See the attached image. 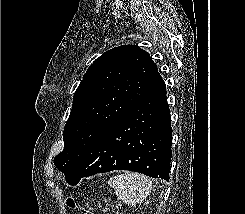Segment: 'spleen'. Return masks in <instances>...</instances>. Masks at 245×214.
<instances>
[{
    "label": "spleen",
    "mask_w": 245,
    "mask_h": 214,
    "mask_svg": "<svg viewBox=\"0 0 245 214\" xmlns=\"http://www.w3.org/2000/svg\"><path fill=\"white\" fill-rule=\"evenodd\" d=\"M108 184L114 188L119 200L135 207L137 203L143 202L152 189L151 180L139 173H123L110 178Z\"/></svg>",
    "instance_id": "3e777b00"
}]
</instances>
